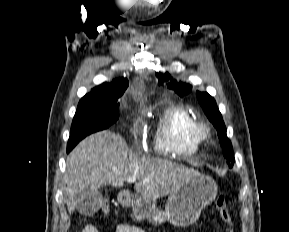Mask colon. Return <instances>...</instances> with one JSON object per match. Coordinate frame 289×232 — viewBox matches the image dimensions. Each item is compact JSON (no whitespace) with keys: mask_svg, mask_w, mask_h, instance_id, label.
Returning <instances> with one entry per match:
<instances>
[{"mask_svg":"<svg viewBox=\"0 0 289 232\" xmlns=\"http://www.w3.org/2000/svg\"><path fill=\"white\" fill-rule=\"evenodd\" d=\"M215 207L219 213L220 218L227 226V232H234V223L227 206V199L224 195L219 194L215 198ZM100 211L102 214L109 213V205L105 201L102 203Z\"/></svg>","mask_w":289,"mask_h":232,"instance_id":"obj_1","label":"colon"}]
</instances>
